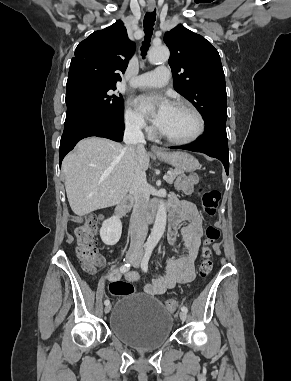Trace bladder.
I'll use <instances>...</instances> for the list:
<instances>
[{
    "mask_svg": "<svg viewBox=\"0 0 291 381\" xmlns=\"http://www.w3.org/2000/svg\"><path fill=\"white\" fill-rule=\"evenodd\" d=\"M173 319L156 296L146 293L124 295L109 317L110 332L139 350L157 349L172 334Z\"/></svg>",
    "mask_w": 291,
    "mask_h": 381,
    "instance_id": "obj_1",
    "label": "bladder"
}]
</instances>
